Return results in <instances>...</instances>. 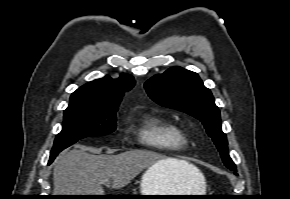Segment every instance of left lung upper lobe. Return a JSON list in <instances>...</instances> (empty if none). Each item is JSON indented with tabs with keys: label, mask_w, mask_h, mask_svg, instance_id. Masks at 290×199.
I'll list each match as a JSON object with an SVG mask.
<instances>
[{
	"label": "left lung upper lobe",
	"mask_w": 290,
	"mask_h": 199,
	"mask_svg": "<svg viewBox=\"0 0 290 199\" xmlns=\"http://www.w3.org/2000/svg\"><path fill=\"white\" fill-rule=\"evenodd\" d=\"M144 86L150 98L159 105L185 112L200 120L226 167L236 171L228 154L226 135L221 129L219 109L211 91L204 86L197 73L172 67L150 78Z\"/></svg>",
	"instance_id": "obj_1"
}]
</instances>
